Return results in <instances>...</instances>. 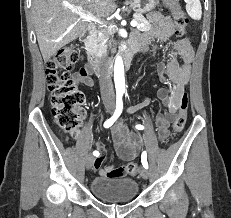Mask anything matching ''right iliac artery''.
<instances>
[{"label": "right iliac artery", "mask_w": 231, "mask_h": 218, "mask_svg": "<svg viewBox=\"0 0 231 218\" xmlns=\"http://www.w3.org/2000/svg\"><path fill=\"white\" fill-rule=\"evenodd\" d=\"M122 109H123L122 94L118 93L117 94V101H116L115 112H114L113 116L110 119H108L107 121H105V123H104V127L105 128L110 127L116 121V119L120 116V114L122 112ZM93 154H94V156H98L99 152L98 151H94Z\"/></svg>", "instance_id": "obj_1"}]
</instances>
